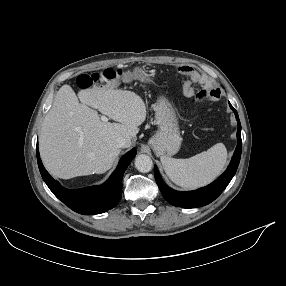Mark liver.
I'll use <instances>...</instances> for the list:
<instances>
[{
  "label": "liver",
  "mask_w": 286,
  "mask_h": 286,
  "mask_svg": "<svg viewBox=\"0 0 286 286\" xmlns=\"http://www.w3.org/2000/svg\"><path fill=\"white\" fill-rule=\"evenodd\" d=\"M88 106L116 123L101 121ZM145 119V103L132 91L95 86L77 96L69 85H63L41 127L43 164L62 179L105 173L120 153L117 140L126 139L130 147Z\"/></svg>",
  "instance_id": "liver-1"
}]
</instances>
